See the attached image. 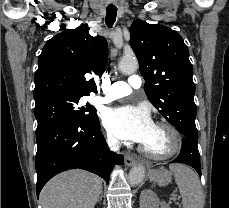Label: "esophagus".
I'll use <instances>...</instances> for the list:
<instances>
[{
	"label": "esophagus",
	"instance_id": "1",
	"mask_svg": "<svg viewBox=\"0 0 229 208\" xmlns=\"http://www.w3.org/2000/svg\"><path fill=\"white\" fill-rule=\"evenodd\" d=\"M137 163V159L130 155L125 156V164L129 167L134 166Z\"/></svg>",
	"mask_w": 229,
	"mask_h": 208
}]
</instances>
